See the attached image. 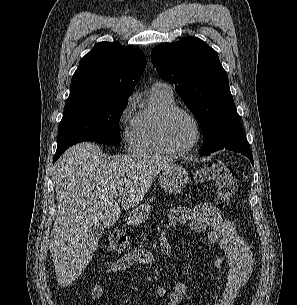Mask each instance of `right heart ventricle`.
<instances>
[{"label":"right heart ventricle","mask_w":297,"mask_h":305,"mask_svg":"<svg viewBox=\"0 0 297 305\" xmlns=\"http://www.w3.org/2000/svg\"><path fill=\"white\" fill-rule=\"evenodd\" d=\"M176 106L173 94L152 86L146 105L134 117L130 147L138 154H165L167 150L157 138L158 118L166 109Z\"/></svg>","instance_id":"obj_1"}]
</instances>
